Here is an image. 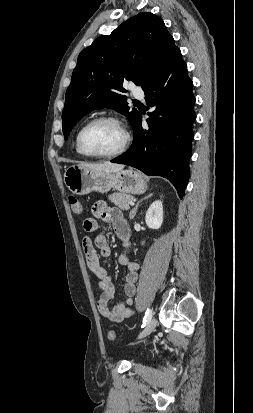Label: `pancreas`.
<instances>
[{
  "mask_svg": "<svg viewBox=\"0 0 253 413\" xmlns=\"http://www.w3.org/2000/svg\"><path fill=\"white\" fill-rule=\"evenodd\" d=\"M108 198L111 202H113L116 206H118L122 210H129L130 202H132L134 199L132 195H128L122 192L113 193Z\"/></svg>",
  "mask_w": 253,
  "mask_h": 413,
  "instance_id": "cf45deb5",
  "label": "pancreas"
}]
</instances>
